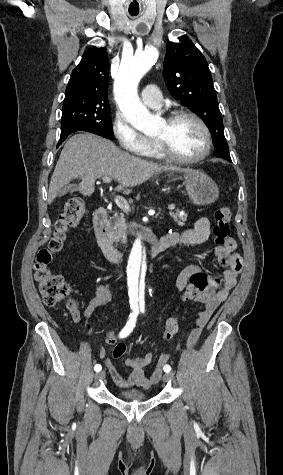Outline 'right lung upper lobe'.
<instances>
[{
	"label": "right lung upper lobe",
	"mask_w": 283,
	"mask_h": 475,
	"mask_svg": "<svg viewBox=\"0 0 283 475\" xmlns=\"http://www.w3.org/2000/svg\"><path fill=\"white\" fill-rule=\"evenodd\" d=\"M109 63L106 48L88 49L72 71L65 97H97L107 99Z\"/></svg>",
	"instance_id": "1"
}]
</instances>
